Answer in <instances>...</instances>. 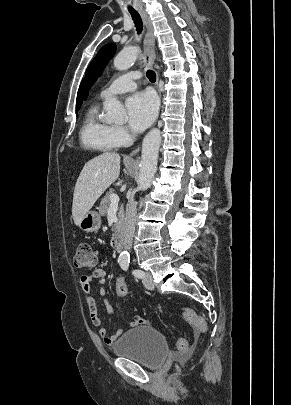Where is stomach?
<instances>
[{"label": "stomach", "instance_id": "1", "mask_svg": "<svg viewBox=\"0 0 291 405\" xmlns=\"http://www.w3.org/2000/svg\"><path fill=\"white\" fill-rule=\"evenodd\" d=\"M79 228L86 232H96L101 226V217L98 212L88 211L79 223Z\"/></svg>", "mask_w": 291, "mask_h": 405}]
</instances>
